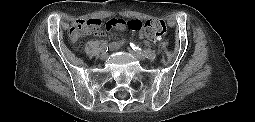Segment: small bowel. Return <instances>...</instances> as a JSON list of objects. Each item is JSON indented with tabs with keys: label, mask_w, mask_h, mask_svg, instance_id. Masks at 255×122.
<instances>
[{
	"label": "small bowel",
	"mask_w": 255,
	"mask_h": 122,
	"mask_svg": "<svg viewBox=\"0 0 255 122\" xmlns=\"http://www.w3.org/2000/svg\"><path fill=\"white\" fill-rule=\"evenodd\" d=\"M119 29H124V28H119ZM95 35L97 36H104L105 33L103 31H96V32H93ZM140 36H144V32H140ZM159 39L157 38H150L148 36H146V42L149 43L151 41L153 42H157ZM123 45V42L122 41H115L111 44V48L114 49V50H118L121 46Z\"/></svg>",
	"instance_id": "1"
}]
</instances>
